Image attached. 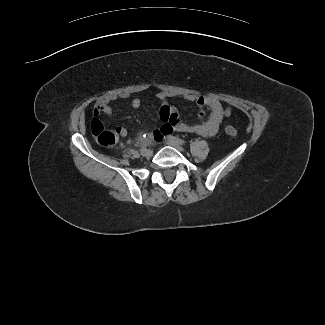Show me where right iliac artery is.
Here are the masks:
<instances>
[{
  "label": "right iliac artery",
  "mask_w": 325,
  "mask_h": 325,
  "mask_svg": "<svg viewBox=\"0 0 325 325\" xmlns=\"http://www.w3.org/2000/svg\"><path fill=\"white\" fill-rule=\"evenodd\" d=\"M146 150V147H141L140 152L143 153Z\"/></svg>",
  "instance_id": "right-iliac-artery-1"
}]
</instances>
